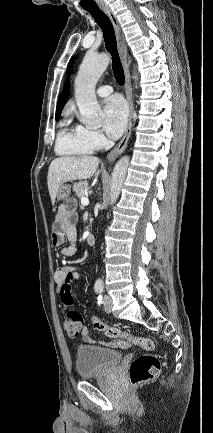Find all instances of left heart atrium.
Returning a JSON list of instances; mask_svg holds the SVG:
<instances>
[{
    "label": "left heart atrium",
    "instance_id": "left-heart-atrium-1",
    "mask_svg": "<svg viewBox=\"0 0 213 433\" xmlns=\"http://www.w3.org/2000/svg\"><path fill=\"white\" fill-rule=\"evenodd\" d=\"M128 111L124 101L113 96L109 98L102 111L103 128L106 134L113 139L118 138L125 130Z\"/></svg>",
    "mask_w": 213,
    "mask_h": 433
}]
</instances>
